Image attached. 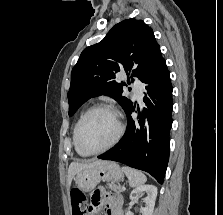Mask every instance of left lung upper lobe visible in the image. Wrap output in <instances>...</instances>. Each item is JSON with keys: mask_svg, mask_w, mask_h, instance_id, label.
<instances>
[{"mask_svg": "<svg viewBox=\"0 0 223 215\" xmlns=\"http://www.w3.org/2000/svg\"><path fill=\"white\" fill-rule=\"evenodd\" d=\"M163 60L152 29L142 20L126 19L112 27L102 41L81 53L71 72L69 116L88 99L108 95L126 111L132 102L122 97L115 74L124 69L141 81ZM129 81V80H128ZM133 81V80H132Z\"/></svg>", "mask_w": 223, "mask_h": 215, "instance_id": "obj_1", "label": "left lung upper lobe"}]
</instances>
